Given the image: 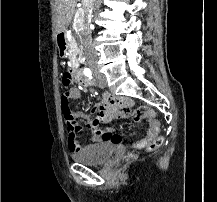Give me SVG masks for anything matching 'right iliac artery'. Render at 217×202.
<instances>
[{
	"label": "right iliac artery",
	"mask_w": 217,
	"mask_h": 202,
	"mask_svg": "<svg viewBox=\"0 0 217 202\" xmlns=\"http://www.w3.org/2000/svg\"><path fill=\"white\" fill-rule=\"evenodd\" d=\"M85 75L89 78H92V73L89 69L85 72Z\"/></svg>",
	"instance_id": "1"
}]
</instances>
